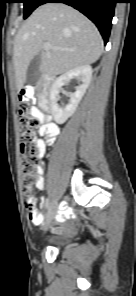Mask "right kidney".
Wrapping results in <instances>:
<instances>
[{"instance_id":"ca27d5eb","label":"right kidney","mask_w":136,"mask_h":296,"mask_svg":"<svg viewBox=\"0 0 136 296\" xmlns=\"http://www.w3.org/2000/svg\"><path fill=\"white\" fill-rule=\"evenodd\" d=\"M73 78L77 79L81 84L76 87L74 93L69 95V103L61 107L58 104L60 90L65 83L71 81ZM91 78L92 67L90 65H82L67 71L54 81L50 91V101L52 115L58 124L64 123L74 114L90 84Z\"/></svg>"}]
</instances>
